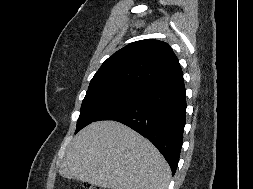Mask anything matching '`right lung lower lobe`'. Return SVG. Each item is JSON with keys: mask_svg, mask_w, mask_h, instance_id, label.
Wrapping results in <instances>:
<instances>
[{"mask_svg": "<svg viewBox=\"0 0 253 189\" xmlns=\"http://www.w3.org/2000/svg\"><path fill=\"white\" fill-rule=\"evenodd\" d=\"M186 107L181 80L156 87L138 101L102 119L121 122L147 137L165 157L174 175L183 142Z\"/></svg>", "mask_w": 253, "mask_h": 189, "instance_id": "98d812e1", "label": "right lung lower lobe"}]
</instances>
